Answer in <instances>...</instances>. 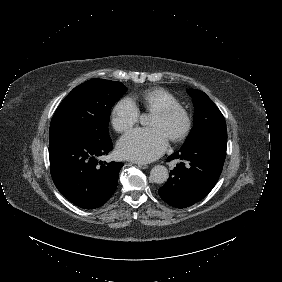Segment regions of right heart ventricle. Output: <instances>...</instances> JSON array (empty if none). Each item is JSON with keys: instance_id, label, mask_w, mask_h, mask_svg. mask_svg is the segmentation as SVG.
<instances>
[{"instance_id": "e07e8e85", "label": "right heart ventricle", "mask_w": 282, "mask_h": 282, "mask_svg": "<svg viewBox=\"0 0 282 282\" xmlns=\"http://www.w3.org/2000/svg\"><path fill=\"white\" fill-rule=\"evenodd\" d=\"M141 101L143 108L147 112H153L156 109L167 106L177 105V100L163 89H154L144 92L140 98L134 97L129 101L138 108V101Z\"/></svg>"}]
</instances>
